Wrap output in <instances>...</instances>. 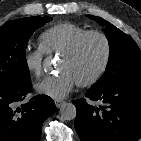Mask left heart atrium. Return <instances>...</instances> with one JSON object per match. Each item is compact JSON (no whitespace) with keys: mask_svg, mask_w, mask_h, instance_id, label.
Here are the masks:
<instances>
[{"mask_svg":"<svg viewBox=\"0 0 141 141\" xmlns=\"http://www.w3.org/2000/svg\"><path fill=\"white\" fill-rule=\"evenodd\" d=\"M77 84V80L68 71L50 75L39 81L35 89L39 94L59 100L66 97Z\"/></svg>","mask_w":141,"mask_h":141,"instance_id":"left-heart-atrium-1","label":"left heart atrium"}]
</instances>
